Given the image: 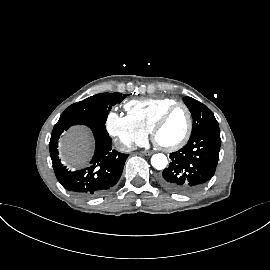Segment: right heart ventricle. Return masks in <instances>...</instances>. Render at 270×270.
Wrapping results in <instances>:
<instances>
[{
  "mask_svg": "<svg viewBox=\"0 0 270 270\" xmlns=\"http://www.w3.org/2000/svg\"><path fill=\"white\" fill-rule=\"evenodd\" d=\"M176 102L172 98L137 99L127 102L125 109L131 119L149 133L159 116Z\"/></svg>",
  "mask_w": 270,
  "mask_h": 270,
  "instance_id": "right-heart-ventricle-1",
  "label": "right heart ventricle"
}]
</instances>
